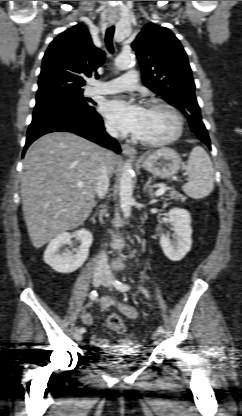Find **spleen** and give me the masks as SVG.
<instances>
[{
  "mask_svg": "<svg viewBox=\"0 0 242 416\" xmlns=\"http://www.w3.org/2000/svg\"><path fill=\"white\" fill-rule=\"evenodd\" d=\"M188 182L182 190L191 198L202 199L208 196L214 187V169L207 152L200 146L192 149L186 164Z\"/></svg>",
  "mask_w": 242,
  "mask_h": 416,
  "instance_id": "1",
  "label": "spleen"
}]
</instances>
